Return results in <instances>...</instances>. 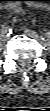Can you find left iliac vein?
Here are the masks:
<instances>
[{
    "mask_svg": "<svg viewBox=\"0 0 50 111\" xmlns=\"http://www.w3.org/2000/svg\"><path fill=\"white\" fill-rule=\"evenodd\" d=\"M25 34H26V35H29V36H31V37H34V38H36V39H38V40H41V37H40L36 32H34V31L30 30V29H26V30H25ZM42 45H43L44 47H48V45H47L45 42H43Z\"/></svg>",
    "mask_w": 50,
    "mask_h": 111,
    "instance_id": "left-iliac-vein-1",
    "label": "left iliac vein"
}]
</instances>
